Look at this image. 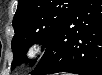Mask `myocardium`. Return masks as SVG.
Segmentation results:
<instances>
[{
  "mask_svg": "<svg viewBox=\"0 0 102 75\" xmlns=\"http://www.w3.org/2000/svg\"><path fill=\"white\" fill-rule=\"evenodd\" d=\"M29 53L31 56H38L41 54V46L39 44H32L29 47Z\"/></svg>",
  "mask_w": 102,
  "mask_h": 75,
  "instance_id": "f54148a6",
  "label": "myocardium"
}]
</instances>
